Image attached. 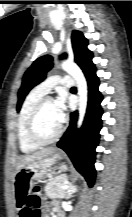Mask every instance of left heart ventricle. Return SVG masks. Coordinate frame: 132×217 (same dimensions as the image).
Wrapping results in <instances>:
<instances>
[{"mask_svg": "<svg viewBox=\"0 0 132 217\" xmlns=\"http://www.w3.org/2000/svg\"><path fill=\"white\" fill-rule=\"evenodd\" d=\"M60 125L56 117L54 102L46 104L37 121V129L40 136L44 139L53 137Z\"/></svg>", "mask_w": 132, "mask_h": 217, "instance_id": "1", "label": "left heart ventricle"}]
</instances>
